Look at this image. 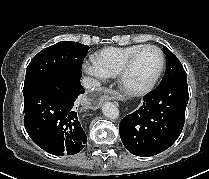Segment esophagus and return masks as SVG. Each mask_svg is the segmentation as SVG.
Instances as JSON below:
<instances>
[{"label":"esophagus","mask_w":209,"mask_h":179,"mask_svg":"<svg viewBox=\"0 0 209 179\" xmlns=\"http://www.w3.org/2000/svg\"><path fill=\"white\" fill-rule=\"evenodd\" d=\"M118 97V90L115 87L97 88L80 98L77 107L82 112H87L93 107H100L106 100H115Z\"/></svg>","instance_id":"34e87169"}]
</instances>
